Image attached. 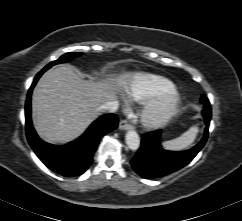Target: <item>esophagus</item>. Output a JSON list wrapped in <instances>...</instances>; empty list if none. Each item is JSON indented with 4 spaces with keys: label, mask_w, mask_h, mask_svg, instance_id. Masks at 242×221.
I'll list each match as a JSON object with an SVG mask.
<instances>
[{
    "label": "esophagus",
    "mask_w": 242,
    "mask_h": 221,
    "mask_svg": "<svg viewBox=\"0 0 242 221\" xmlns=\"http://www.w3.org/2000/svg\"><path fill=\"white\" fill-rule=\"evenodd\" d=\"M119 128L121 130H130L132 129V125L127 120H121L119 123Z\"/></svg>",
    "instance_id": "esophagus-1"
}]
</instances>
